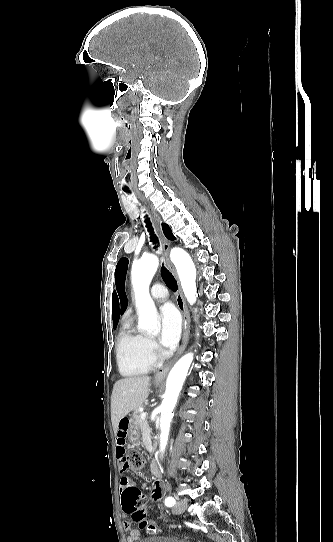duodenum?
Here are the masks:
<instances>
[{
	"label": "duodenum",
	"instance_id": "410a0bca",
	"mask_svg": "<svg viewBox=\"0 0 333 542\" xmlns=\"http://www.w3.org/2000/svg\"><path fill=\"white\" fill-rule=\"evenodd\" d=\"M150 470H151V473L154 477H158L159 476V468L156 464L152 463L151 466H150Z\"/></svg>",
	"mask_w": 333,
	"mask_h": 542
}]
</instances>
